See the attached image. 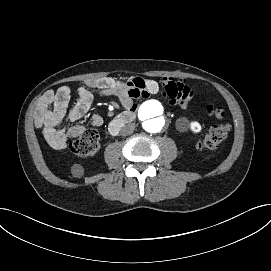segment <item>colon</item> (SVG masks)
Returning <instances> with one entry per match:
<instances>
[{
  "instance_id": "1",
  "label": "colon",
  "mask_w": 271,
  "mask_h": 271,
  "mask_svg": "<svg viewBox=\"0 0 271 271\" xmlns=\"http://www.w3.org/2000/svg\"><path fill=\"white\" fill-rule=\"evenodd\" d=\"M210 116L222 118L224 109L221 105L211 104L207 108ZM230 125L219 123L213 126L209 132L199 140L197 146L200 149H215L221 145L228 137ZM99 135L94 129L86 130L79 138L70 144L71 151L81 157L91 156L99 150Z\"/></svg>"
}]
</instances>
